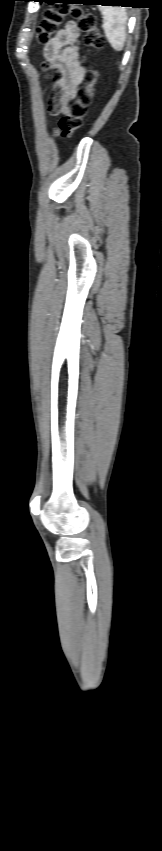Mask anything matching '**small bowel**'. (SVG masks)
<instances>
[{
	"label": "small bowel",
	"mask_w": 162,
	"mask_h": 851,
	"mask_svg": "<svg viewBox=\"0 0 162 851\" xmlns=\"http://www.w3.org/2000/svg\"><path fill=\"white\" fill-rule=\"evenodd\" d=\"M43 55L46 59L43 68H54L58 72L54 84L55 93L49 100L50 111L55 115L65 114L85 74L83 58L79 52V30L76 23L67 22L45 45Z\"/></svg>",
	"instance_id": "obj_1"
}]
</instances>
